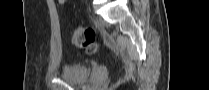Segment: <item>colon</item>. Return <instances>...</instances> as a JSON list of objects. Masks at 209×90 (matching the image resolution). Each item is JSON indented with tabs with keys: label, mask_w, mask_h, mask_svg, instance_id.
Listing matches in <instances>:
<instances>
[{
	"label": "colon",
	"mask_w": 209,
	"mask_h": 90,
	"mask_svg": "<svg viewBox=\"0 0 209 90\" xmlns=\"http://www.w3.org/2000/svg\"><path fill=\"white\" fill-rule=\"evenodd\" d=\"M71 41L76 47L87 53H93L97 48L96 34L91 28H75L72 32Z\"/></svg>",
	"instance_id": "obj_1"
}]
</instances>
